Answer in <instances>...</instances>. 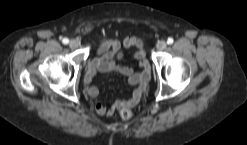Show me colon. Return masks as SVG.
Wrapping results in <instances>:
<instances>
[{
  "instance_id": "colon-1",
  "label": "colon",
  "mask_w": 247,
  "mask_h": 145,
  "mask_svg": "<svg viewBox=\"0 0 247 145\" xmlns=\"http://www.w3.org/2000/svg\"><path fill=\"white\" fill-rule=\"evenodd\" d=\"M119 116L122 119L128 120L132 117V111L129 108H122L119 111Z\"/></svg>"
}]
</instances>
